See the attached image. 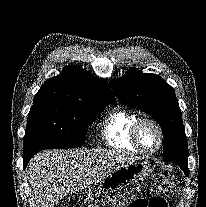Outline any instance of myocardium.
Wrapping results in <instances>:
<instances>
[{"label":"myocardium","instance_id":"obj_1","mask_svg":"<svg viewBox=\"0 0 206 207\" xmlns=\"http://www.w3.org/2000/svg\"><path fill=\"white\" fill-rule=\"evenodd\" d=\"M144 123H150L152 124L156 129H157V132L159 134V142H158V145L154 148V149H146L140 142V139H139V130H140V127L144 124ZM131 140H132V143L134 144V146L143 154H147V155H152V154H155L157 153L163 146L164 144V140H165V135H164V131H163V128L161 126V124L156 121L155 119L153 118H149V117H142V118H139L135 123L134 125L132 126L131 128Z\"/></svg>","mask_w":206,"mask_h":207}]
</instances>
